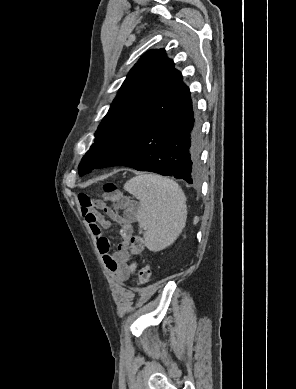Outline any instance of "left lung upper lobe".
<instances>
[{
    "label": "left lung upper lobe",
    "instance_id": "left-lung-upper-lobe-1",
    "mask_svg": "<svg viewBox=\"0 0 296 389\" xmlns=\"http://www.w3.org/2000/svg\"><path fill=\"white\" fill-rule=\"evenodd\" d=\"M179 73L174 69L173 61L166 57L164 49L151 50L140 58L130 70L107 115L100 123L94 144L83 156L78 167L80 176L99 167L94 149L104 132L146 100L166 79Z\"/></svg>",
    "mask_w": 296,
    "mask_h": 389
}]
</instances>
